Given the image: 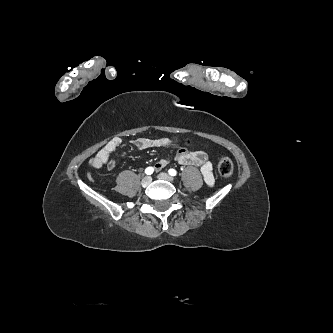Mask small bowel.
I'll return each mask as SVG.
<instances>
[{"mask_svg": "<svg viewBox=\"0 0 333 333\" xmlns=\"http://www.w3.org/2000/svg\"><path fill=\"white\" fill-rule=\"evenodd\" d=\"M122 140L119 137L112 138L97 154L91 159L90 165L99 169L106 166L109 170L115 167L114 160L111 159L112 153L119 147ZM131 144L137 149L144 150L152 147L168 146L172 144V140L167 137L146 138L140 137L133 139ZM175 160L182 165L199 166L203 179L208 186L214 184L213 167L208 160L207 154L202 150H186L181 149L175 155ZM168 164V160L161 158L155 165L156 170L164 168Z\"/></svg>", "mask_w": 333, "mask_h": 333, "instance_id": "1", "label": "small bowel"}]
</instances>
